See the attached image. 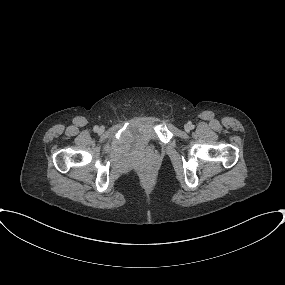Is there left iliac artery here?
Here are the masks:
<instances>
[{
    "label": "left iliac artery",
    "mask_w": 285,
    "mask_h": 285,
    "mask_svg": "<svg viewBox=\"0 0 285 285\" xmlns=\"http://www.w3.org/2000/svg\"><path fill=\"white\" fill-rule=\"evenodd\" d=\"M190 125H191L192 128L194 127V125H192V124H190Z\"/></svg>",
    "instance_id": "left-iliac-artery-1"
}]
</instances>
